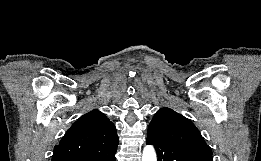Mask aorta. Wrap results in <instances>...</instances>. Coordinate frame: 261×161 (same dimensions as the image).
Wrapping results in <instances>:
<instances>
[{
  "mask_svg": "<svg viewBox=\"0 0 261 161\" xmlns=\"http://www.w3.org/2000/svg\"><path fill=\"white\" fill-rule=\"evenodd\" d=\"M142 161H157L156 152L152 146H146L144 148Z\"/></svg>",
  "mask_w": 261,
  "mask_h": 161,
  "instance_id": "762f6f07",
  "label": "aorta"
}]
</instances>
